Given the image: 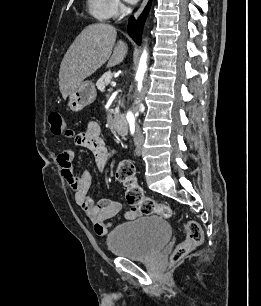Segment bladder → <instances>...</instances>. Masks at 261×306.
I'll return each instance as SVG.
<instances>
[{"instance_id": "1", "label": "bladder", "mask_w": 261, "mask_h": 306, "mask_svg": "<svg viewBox=\"0 0 261 306\" xmlns=\"http://www.w3.org/2000/svg\"><path fill=\"white\" fill-rule=\"evenodd\" d=\"M171 227L158 215H147L116 227L107 236V246L114 255L134 261L153 258L169 241Z\"/></svg>"}]
</instances>
